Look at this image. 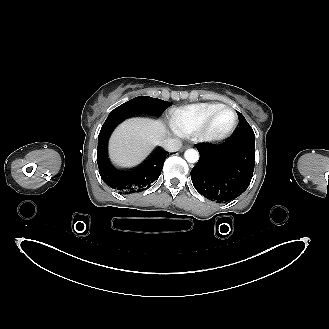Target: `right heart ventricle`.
Returning a JSON list of instances; mask_svg holds the SVG:
<instances>
[{
  "instance_id": "1",
  "label": "right heart ventricle",
  "mask_w": 329,
  "mask_h": 329,
  "mask_svg": "<svg viewBox=\"0 0 329 329\" xmlns=\"http://www.w3.org/2000/svg\"><path fill=\"white\" fill-rule=\"evenodd\" d=\"M223 105L220 102H206L176 108L170 115L171 125L179 135L192 134L213 111Z\"/></svg>"
}]
</instances>
